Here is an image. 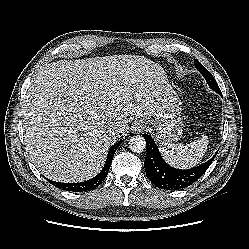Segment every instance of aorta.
<instances>
[{
  "instance_id": "obj_1",
  "label": "aorta",
  "mask_w": 249,
  "mask_h": 249,
  "mask_svg": "<svg viewBox=\"0 0 249 249\" xmlns=\"http://www.w3.org/2000/svg\"><path fill=\"white\" fill-rule=\"evenodd\" d=\"M128 144L130 150L135 153H141L146 149V141L140 135L131 137Z\"/></svg>"
}]
</instances>
